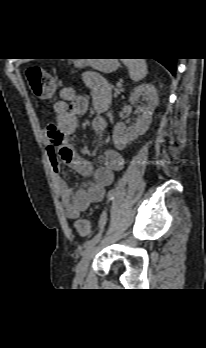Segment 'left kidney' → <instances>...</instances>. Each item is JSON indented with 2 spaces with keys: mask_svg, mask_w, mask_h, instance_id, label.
<instances>
[{
  "mask_svg": "<svg viewBox=\"0 0 206 348\" xmlns=\"http://www.w3.org/2000/svg\"><path fill=\"white\" fill-rule=\"evenodd\" d=\"M129 101L142 114L137 117L135 124L130 129H127L123 122L115 125L112 137L118 150H123L129 142L145 134L149 129L152 115L159 102L157 90L152 84H141L134 89ZM141 102L143 103L139 105Z\"/></svg>",
  "mask_w": 206,
  "mask_h": 348,
  "instance_id": "left-kidney-1",
  "label": "left kidney"
}]
</instances>
